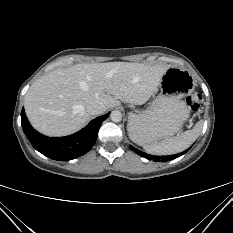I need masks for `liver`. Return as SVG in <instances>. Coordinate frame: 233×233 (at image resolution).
Returning <instances> with one entry per match:
<instances>
[{"label":"liver","mask_w":233,"mask_h":233,"mask_svg":"<svg viewBox=\"0 0 233 233\" xmlns=\"http://www.w3.org/2000/svg\"><path fill=\"white\" fill-rule=\"evenodd\" d=\"M169 66L130 62L76 64L37 79L25 95L28 120L48 136L77 132L90 120L86 105L102 102L106 110L120 101L144 104ZM109 75V77H107Z\"/></svg>","instance_id":"obj_1"}]
</instances>
